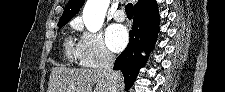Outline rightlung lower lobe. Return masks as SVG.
Instances as JSON below:
<instances>
[{"label":"right lung lower lobe","instance_id":"98d812e1","mask_svg":"<svg viewBox=\"0 0 225 92\" xmlns=\"http://www.w3.org/2000/svg\"><path fill=\"white\" fill-rule=\"evenodd\" d=\"M158 29V11L149 15L134 14L129 44L117 57L113 67L123 73L126 89L133 85L140 68L145 66L147 57L142 56L141 52L148 54L154 48Z\"/></svg>","mask_w":225,"mask_h":92}]
</instances>
